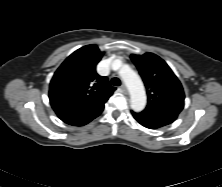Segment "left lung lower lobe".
<instances>
[{
	"instance_id": "obj_1",
	"label": "left lung lower lobe",
	"mask_w": 222,
	"mask_h": 187,
	"mask_svg": "<svg viewBox=\"0 0 222 187\" xmlns=\"http://www.w3.org/2000/svg\"><path fill=\"white\" fill-rule=\"evenodd\" d=\"M179 112L171 110L145 109L140 113L132 111L133 117L144 127L157 129L172 123Z\"/></svg>"
}]
</instances>
